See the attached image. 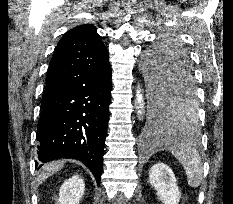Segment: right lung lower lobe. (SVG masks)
Segmentation results:
<instances>
[{
  "label": "right lung lower lobe",
  "instance_id": "98d812e1",
  "mask_svg": "<svg viewBox=\"0 0 233 204\" xmlns=\"http://www.w3.org/2000/svg\"><path fill=\"white\" fill-rule=\"evenodd\" d=\"M111 77L109 64L44 93L41 116L47 117L49 122L37 132L39 161L78 159L92 171L99 186L109 120Z\"/></svg>",
  "mask_w": 233,
  "mask_h": 204
}]
</instances>
